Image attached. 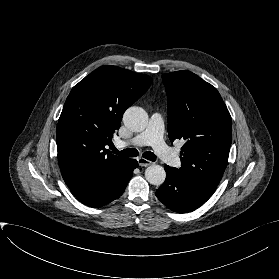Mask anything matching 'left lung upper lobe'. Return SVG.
Here are the masks:
<instances>
[{
    "label": "left lung upper lobe",
    "instance_id": "5c2ea615",
    "mask_svg": "<svg viewBox=\"0 0 279 279\" xmlns=\"http://www.w3.org/2000/svg\"><path fill=\"white\" fill-rule=\"evenodd\" d=\"M168 99L170 141L184 139V176L216 189L225 171L232 139L230 113L219 92L190 71L162 75Z\"/></svg>",
    "mask_w": 279,
    "mask_h": 279
}]
</instances>
